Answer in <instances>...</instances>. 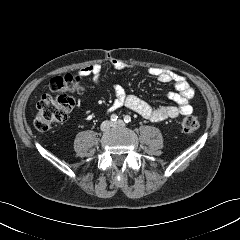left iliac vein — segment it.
<instances>
[{
	"mask_svg": "<svg viewBox=\"0 0 240 240\" xmlns=\"http://www.w3.org/2000/svg\"><path fill=\"white\" fill-rule=\"evenodd\" d=\"M113 127H124L125 123L122 120H118L112 124Z\"/></svg>",
	"mask_w": 240,
	"mask_h": 240,
	"instance_id": "4c4485c4",
	"label": "left iliac vein"
}]
</instances>
